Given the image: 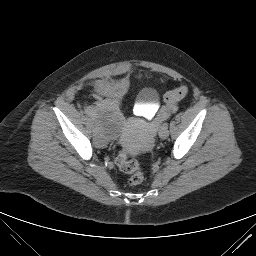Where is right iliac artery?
Wrapping results in <instances>:
<instances>
[{
  "label": "right iliac artery",
  "mask_w": 256,
  "mask_h": 256,
  "mask_svg": "<svg viewBox=\"0 0 256 256\" xmlns=\"http://www.w3.org/2000/svg\"><path fill=\"white\" fill-rule=\"evenodd\" d=\"M86 114L89 116L90 114H93V111L91 109H86Z\"/></svg>",
  "instance_id": "right-iliac-artery-1"
}]
</instances>
